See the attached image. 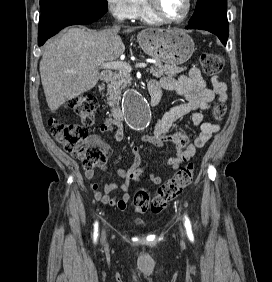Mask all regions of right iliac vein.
I'll list each match as a JSON object with an SVG mask.
<instances>
[{
	"label": "right iliac vein",
	"instance_id": "63e3f726",
	"mask_svg": "<svg viewBox=\"0 0 272 282\" xmlns=\"http://www.w3.org/2000/svg\"><path fill=\"white\" fill-rule=\"evenodd\" d=\"M102 239H103V241L105 240V234L103 233V235H102Z\"/></svg>",
	"mask_w": 272,
	"mask_h": 282
}]
</instances>
